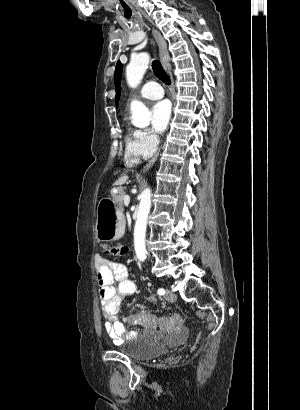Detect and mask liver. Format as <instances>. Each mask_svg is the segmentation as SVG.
Listing matches in <instances>:
<instances>
[{"label":"liver","instance_id":"1","mask_svg":"<svg viewBox=\"0 0 300 410\" xmlns=\"http://www.w3.org/2000/svg\"><path fill=\"white\" fill-rule=\"evenodd\" d=\"M127 180H128V176H127V175H123L122 177H120V178L114 183V185H122V184H125Z\"/></svg>","mask_w":300,"mask_h":410}]
</instances>
